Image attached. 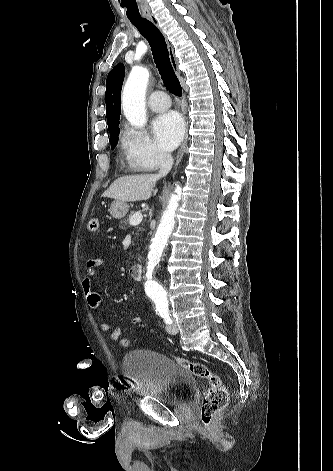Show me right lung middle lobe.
Listing matches in <instances>:
<instances>
[{"mask_svg": "<svg viewBox=\"0 0 333 471\" xmlns=\"http://www.w3.org/2000/svg\"><path fill=\"white\" fill-rule=\"evenodd\" d=\"M109 132H110V138H111V149L113 150L118 142V136H119L118 126Z\"/></svg>", "mask_w": 333, "mask_h": 471, "instance_id": "dd1d6c3e", "label": "right lung middle lobe"}]
</instances>
